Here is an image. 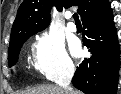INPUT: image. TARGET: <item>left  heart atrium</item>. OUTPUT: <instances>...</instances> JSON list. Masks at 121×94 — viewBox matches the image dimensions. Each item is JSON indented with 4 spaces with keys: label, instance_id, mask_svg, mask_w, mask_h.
I'll return each mask as SVG.
<instances>
[{
    "label": "left heart atrium",
    "instance_id": "left-heart-atrium-1",
    "mask_svg": "<svg viewBox=\"0 0 121 94\" xmlns=\"http://www.w3.org/2000/svg\"><path fill=\"white\" fill-rule=\"evenodd\" d=\"M72 50H73L75 53H77V52L79 51V46H78V44H77L76 42H74V43L72 44Z\"/></svg>",
    "mask_w": 121,
    "mask_h": 94
}]
</instances>
